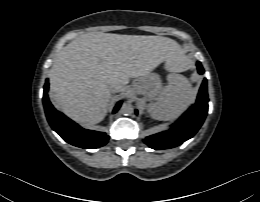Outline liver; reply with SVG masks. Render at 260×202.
<instances>
[{"mask_svg": "<svg viewBox=\"0 0 260 202\" xmlns=\"http://www.w3.org/2000/svg\"><path fill=\"white\" fill-rule=\"evenodd\" d=\"M164 61L169 72L187 66L180 45L170 38L86 33L57 55L49 74L51 98L71 119L94 125L107 113L113 86L124 91L129 78L147 75Z\"/></svg>", "mask_w": 260, "mask_h": 202, "instance_id": "liver-1", "label": "liver"}]
</instances>
